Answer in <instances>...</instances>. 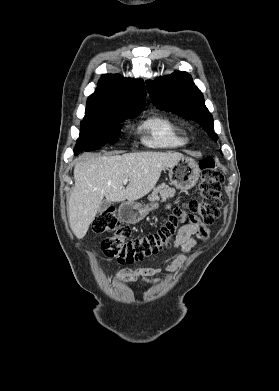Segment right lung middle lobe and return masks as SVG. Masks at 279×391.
<instances>
[{
	"mask_svg": "<svg viewBox=\"0 0 279 391\" xmlns=\"http://www.w3.org/2000/svg\"><path fill=\"white\" fill-rule=\"evenodd\" d=\"M141 111L142 109L86 113L81 122L80 137L74 153L96 150L106 143L114 144L120 137V124L128 118L136 117Z\"/></svg>",
	"mask_w": 279,
	"mask_h": 391,
	"instance_id": "1",
	"label": "right lung middle lobe"
}]
</instances>
